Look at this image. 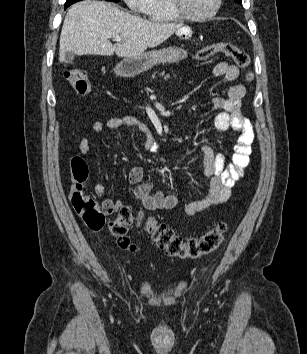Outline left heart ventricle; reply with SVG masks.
Masks as SVG:
<instances>
[{"instance_id":"1","label":"left heart ventricle","mask_w":307,"mask_h":354,"mask_svg":"<svg viewBox=\"0 0 307 354\" xmlns=\"http://www.w3.org/2000/svg\"><path fill=\"white\" fill-rule=\"evenodd\" d=\"M216 0H184V6L188 13L192 15H204L209 13Z\"/></svg>"}]
</instances>
